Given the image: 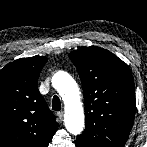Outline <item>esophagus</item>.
I'll return each instance as SVG.
<instances>
[{"label": "esophagus", "mask_w": 147, "mask_h": 147, "mask_svg": "<svg viewBox=\"0 0 147 147\" xmlns=\"http://www.w3.org/2000/svg\"><path fill=\"white\" fill-rule=\"evenodd\" d=\"M57 116L60 121H63V112L62 111L57 112Z\"/></svg>", "instance_id": "obj_1"}]
</instances>
